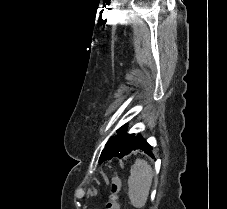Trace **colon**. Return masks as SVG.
Masks as SVG:
<instances>
[{
    "label": "colon",
    "instance_id": "obj_1",
    "mask_svg": "<svg viewBox=\"0 0 227 209\" xmlns=\"http://www.w3.org/2000/svg\"><path fill=\"white\" fill-rule=\"evenodd\" d=\"M121 190V180L119 177H112L109 181V199L104 209H120L119 195Z\"/></svg>",
    "mask_w": 227,
    "mask_h": 209
}]
</instances>
